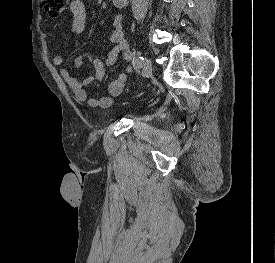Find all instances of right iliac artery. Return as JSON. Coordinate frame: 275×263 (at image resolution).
Instances as JSON below:
<instances>
[{"label": "right iliac artery", "mask_w": 275, "mask_h": 263, "mask_svg": "<svg viewBox=\"0 0 275 263\" xmlns=\"http://www.w3.org/2000/svg\"><path fill=\"white\" fill-rule=\"evenodd\" d=\"M143 63H144V57L139 53L137 58L134 61V66L136 68H140L142 67Z\"/></svg>", "instance_id": "right-iliac-artery-1"}]
</instances>
